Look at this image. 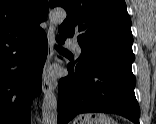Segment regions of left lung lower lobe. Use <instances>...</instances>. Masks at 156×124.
Instances as JSON below:
<instances>
[{
    "instance_id": "0a47b994",
    "label": "left lung lower lobe",
    "mask_w": 156,
    "mask_h": 124,
    "mask_svg": "<svg viewBox=\"0 0 156 124\" xmlns=\"http://www.w3.org/2000/svg\"><path fill=\"white\" fill-rule=\"evenodd\" d=\"M67 37L56 40L64 43ZM69 74L59 82L58 124H66L81 113H115L139 124L140 108L135 77L122 65L102 61L80 69L67 65Z\"/></svg>"
}]
</instances>
